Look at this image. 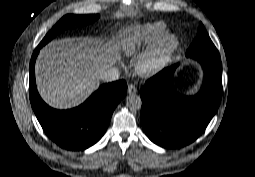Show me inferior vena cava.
Returning a JSON list of instances; mask_svg holds the SVG:
<instances>
[{"mask_svg":"<svg viewBox=\"0 0 255 177\" xmlns=\"http://www.w3.org/2000/svg\"><path fill=\"white\" fill-rule=\"evenodd\" d=\"M120 71L116 66L106 68L101 74V79L104 82H112L119 79Z\"/></svg>","mask_w":255,"mask_h":177,"instance_id":"obj_1","label":"inferior vena cava"}]
</instances>
